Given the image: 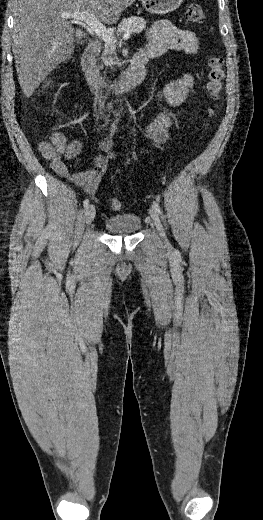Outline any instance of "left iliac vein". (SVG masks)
<instances>
[{
    "label": "left iliac vein",
    "mask_w": 263,
    "mask_h": 520,
    "mask_svg": "<svg viewBox=\"0 0 263 520\" xmlns=\"http://www.w3.org/2000/svg\"><path fill=\"white\" fill-rule=\"evenodd\" d=\"M150 216L152 218V221L154 223V225L156 226L160 236L165 239L166 236H165V232H164V229H163V226L161 224V221H160V218H159V215L157 213V211L152 207L150 208Z\"/></svg>",
    "instance_id": "4c4485c4"
}]
</instances>
